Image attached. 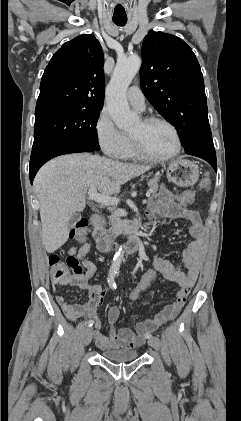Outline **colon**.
I'll return each mask as SVG.
<instances>
[{
  "label": "colon",
  "instance_id": "5ec220e1",
  "mask_svg": "<svg viewBox=\"0 0 241 421\" xmlns=\"http://www.w3.org/2000/svg\"><path fill=\"white\" fill-rule=\"evenodd\" d=\"M210 185V179L206 175L200 182V187L207 189ZM196 192L194 190H186L178 195V201L183 204H191L194 202ZM88 223L85 220H81L76 223L74 228L71 230L70 238L76 242H84L87 236ZM49 265L52 272V280L55 283L64 282L70 280L73 276L82 273V267L76 257L69 255L65 261H63L58 255L49 256ZM158 276V272L155 268H148L139 278L136 285L133 287L129 300L134 302L153 284Z\"/></svg>",
  "mask_w": 241,
  "mask_h": 421
}]
</instances>
